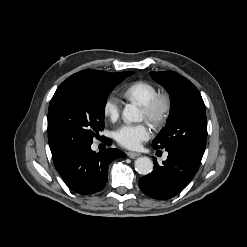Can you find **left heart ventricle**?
Returning <instances> with one entry per match:
<instances>
[{
  "instance_id": "left-heart-ventricle-1",
  "label": "left heart ventricle",
  "mask_w": 247,
  "mask_h": 247,
  "mask_svg": "<svg viewBox=\"0 0 247 247\" xmlns=\"http://www.w3.org/2000/svg\"><path fill=\"white\" fill-rule=\"evenodd\" d=\"M142 116L145 118V114H144V112L142 111Z\"/></svg>"
}]
</instances>
